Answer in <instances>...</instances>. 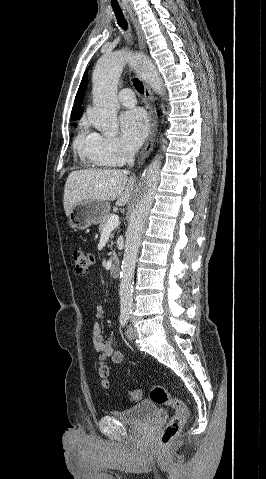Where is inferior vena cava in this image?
Returning <instances> with one entry per match:
<instances>
[{
	"mask_svg": "<svg viewBox=\"0 0 266 479\" xmlns=\"http://www.w3.org/2000/svg\"><path fill=\"white\" fill-rule=\"evenodd\" d=\"M126 159H127L128 165H129L130 167L134 165L135 159H134V154H133V153H128ZM124 172H125V173H128L129 171L125 170Z\"/></svg>",
	"mask_w": 266,
	"mask_h": 479,
	"instance_id": "obj_1",
	"label": "inferior vena cava"
}]
</instances>
